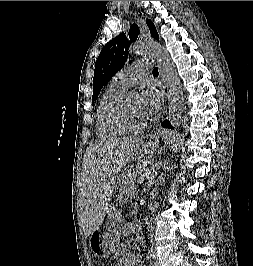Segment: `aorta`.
Listing matches in <instances>:
<instances>
[{
    "label": "aorta",
    "instance_id": "aorta-1",
    "mask_svg": "<svg viewBox=\"0 0 253 266\" xmlns=\"http://www.w3.org/2000/svg\"><path fill=\"white\" fill-rule=\"evenodd\" d=\"M136 55L149 54L159 62V71L168 91V117L173 127L180 126L183 119L184 98L175 65L170 61L167 50L157 42L137 41L132 46Z\"/></svg>",
    "mask_w": 253,
    "mask_h": 266
}]
</instances>
